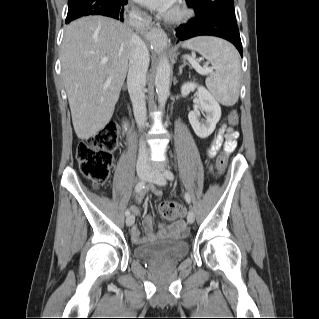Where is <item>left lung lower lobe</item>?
<instances>
[{
    "instance_id": "1",
    "label": "left lung lower lobe",
    "mask_w": 319,
    "mask_h": 319,
    "mask_svg": "<svg viewBox=\"0 0 319 319\" xmlns=\"http://www.w3.org/2000/svg\"><path fill=\"white\" fill-rule=\"evenodd\" d=\"M178 41L210 35L230 41L242 56V44L236 21L220 16L195 17L176 29Z\"/></svg>"
}]
</instances>
